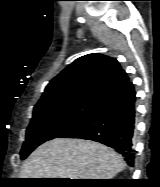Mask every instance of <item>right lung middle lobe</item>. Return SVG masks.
Wrapping results in <instances>:
<instances>
[{
    "label": "right lung middle lobe",
    "instance_id": "obj_1",
    "mask_svg": "<svg viewBox=\"0 0 160 187\" xmlns=\"http://www.w3.org/2000/svg\"><path fill=\"white\" fill-rule=\"evenodd\" d=\"M97 101L76 100L60 105L34 108L20 152L25 159L40 144L57 138L86 116Z\"/></svg>",
    "mask_w": 160,
    "mask_h": 187
}]
</instances>
